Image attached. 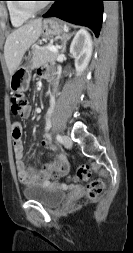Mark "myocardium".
<instances>
[{"label":"myocardium","instance_id":"1","mask_svg":"<svg viewBox=\"0 0 133 253\" xmlns=\"http://www.w3.org/2000/svg\"><path fill=\"white\" fill-rule=\"evenodd\" d=\"M18 1L20 2H17V7L20 10V12L29 16H33L41 12L47 6V3H42L39 6L33 7L30 6L29 3L24 2L25 0H18Z\"/></svg>","mask_w":133,"mask_h":253}]
</instances>
